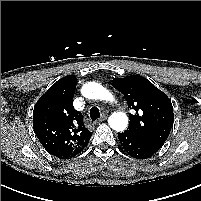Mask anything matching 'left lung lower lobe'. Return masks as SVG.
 I'll return each instance as SVG.
<instances>
[{"instance_id":"left-lung-lower-lobe-1","label":"left lung lower lobe","mask_w":201,"mask_h":201,"mask_svg":"<svg viewBox=\"0 0 201 201\" xmlns=\"http://www.w3.org/2000/svg\"><path fill=\"white\" fill-rule=\"evenodd\" d=\"M118 138L124 150L136 159H147L158 151L129 130L119 133Z\"/></svg>"}]
</instances>
